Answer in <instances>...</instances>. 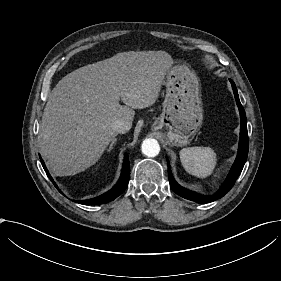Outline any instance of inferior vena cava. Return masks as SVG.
Returning a JSON list of instances; mask_svg holds the SVG:
<instances>
[{"mask_svg":"<svg viewBox=\"0 0 281 281\" xmlns=\"http://www.w3.org/2000/svg\"><path fill=\"white\" fill-rule=\"evenodd\" d=\"M130 128H131V124L122 119L115 121L113 124V129L117 133H121V134L126 133L127 131H129Z\"/></svg>","mask_w":281,"mask_h":281,"instance_id":"602c4592","label":"inferior vena cava"}]
</instances>
